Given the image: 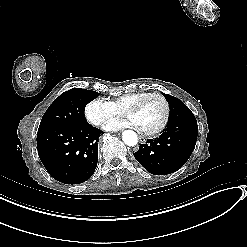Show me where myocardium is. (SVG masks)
<instances>
[{"instance_id": "f54148a6", "label": "myocardium", "mask_w": 247, "mask_h": 247, "mask_svg": "<svg viewBox=\"0 0 247 247\" xmlns=\"http://www.w3.org/2000/svg\"><path fill=\"white\" fill-rule=\"evenodd\" d=\"M150 97L160 98L163 101L164 107H165V112H164V117H163L162 123L157 128H155L153 130H143V132L146 135H156V134L160 133L166 127V125L168 123V120L170 117V112H171L170 103H169L168 99L160 92H149V93H146L143 97L136 99L133 102V104L131 105V107L135 112H137L142 101L144 99L150 98Z\"/></svg>"}]
</instances>
